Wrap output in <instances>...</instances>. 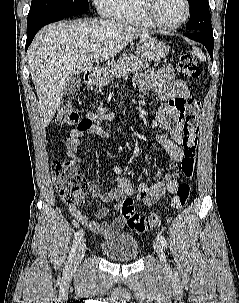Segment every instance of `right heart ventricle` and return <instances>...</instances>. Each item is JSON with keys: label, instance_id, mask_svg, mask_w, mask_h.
<instances>
[{"label": "right heart ventricle", "instance_id": "1", "mask_svg": "<svg viewBox=\"0 0 239 303\" xmlns=\"http://www.w3.org/2000/svg\"><path fill=\"white\" fill-rule=\"evenodd\" d=\"M112 18L144 28L152 27L140 13L137 0H119Z\"/></svg>", "mask_w": 239, "mask_h": 303}]
</instances>
